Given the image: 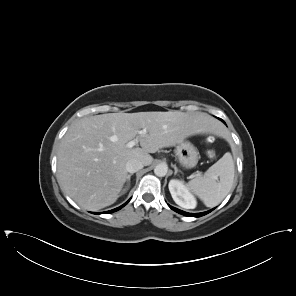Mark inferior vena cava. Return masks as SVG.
Masks as SVG:
<instances>
[{"mask_svg":"<svg viewBox=\"0 0 296 296\" xmlns=\"http://www.w3.org/2000/svg\"><path fill=\"white\" fill-rule=\"evenodd\" d=\"M144 167L143 163L137 159H131L126 163V170L129 173H135Z\"/></svg>","mask_w":296,"mask_h":296,"instance_id":"1","label":"inferior vena cava"}]
</instances>
